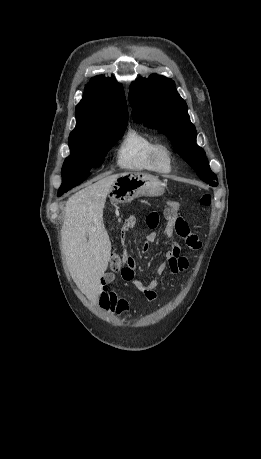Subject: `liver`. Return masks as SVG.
<instances>
[{"label": "liver", "mask_w": 261, "mask_h": 459, "mask_svg": "<svg viewBox=\"0 0 261 459\" xmlns=\"http://www.w3.org/2000/svg\"><path fill=\"white\" fill-rule=\"evenodd\" d=\"M120 175L99 178L72 195L65 207L62 249L74 282L90 300L99 297L100 279L110 260L111 242L103 222V209Z\"/></svg>", "instance_id": "obj_1"}]
</instances>
